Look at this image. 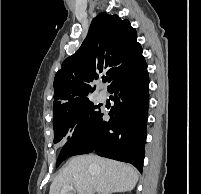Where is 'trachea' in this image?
<instances>
[{
    "mask_svg": "<svg viewBox=\"0 0 201 194\" xmlns=\"http://www.w3.org/2000/svg\"><path fill=\"white\" fill-rule=\"evenodd\" d=\"M107 80H108V78H106V77H105V78H103V82H106Z\"/></svg>",
    "mask_w": 201,
    "mask_h": 194,
    "instance_id": "1",
    "label": "trachea"
}]
</instances>
